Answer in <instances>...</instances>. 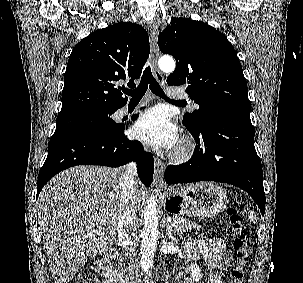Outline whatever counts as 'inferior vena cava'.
<instances>
[{"label":"inferior vena cava","instance_id":"obj_1","mask_svg":"<svg viewBox=\"0 0 303 283\" xmlns=\"http://www.w3.org/2000/svg\"><path fill=\"white\" fill-rule=\"evenodd\" d=\"M137 176L136 164L122 167L120 178L121 214L117 229V239L123 246V258L126 263V283H138L137 252L133 245V232L136 228V190L134 182Z\"/></svg>","mask_w":303,"mask_h":283}]
</instances>
